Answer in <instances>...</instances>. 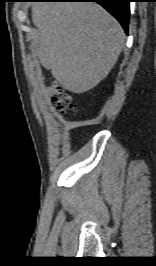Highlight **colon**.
Masks as SVG:
<instances>
[{
  "instance_id": "5ec220e1",
  "label": "colon",
  "mask_w": 156,
  "mask_h": 266,
  "mask_svg": "<svg viewBox=\"0 0 156 266\" xmlns=\"http://www.w3.org/2000/svg\"><path fill=\"white\" fill-rule=\"evenodd\" d=\"M51 101L54 103L56 109L62 114H68L75 110L72 98L67 94L62 87L57 83L50 85Z\"/></svg>"
}]
</instances>
